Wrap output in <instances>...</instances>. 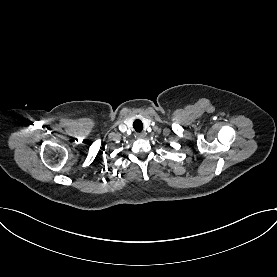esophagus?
I'll return each mask as SVG.
<instances>
[{
	"label": "esophagus",
	"mask_w": 277,
	"mask_h": 277,
	"mask_svg": "<svg viewBox=\"0 0 277 277\" xmlns=\"http://www.w3.org/2000/svg\"><path fill=\"white\" fill-rule=\"evenodd\" d=\"M145 136H146V134L144 132L136 134V138H138V139H143V138H145Z\"/></svg>",
	"instance_id": "obj_1"
}]
</instances>
